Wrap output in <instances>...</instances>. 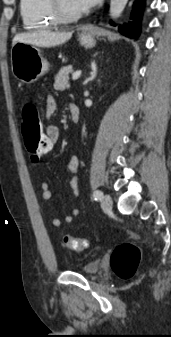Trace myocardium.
I'll use <instances>...</instances> for the list:
<instances>
[{
	"instance_id": "f54148a6",
	"label": "myocardium",
	"mask_w": 171,
	"mask_h": 337,
	"mask_svg": "<svg viewBox=\"0 0 171 337\" xmlns=\"http://www.w3.org/2000/svg\"><path fill=\"white\" fill-rule=\"evenodd\" d=\"M52 13L60 23H70L79 20L84 12L71 13L65 9L62 0H49Z\"/></svg>"
}]
</instances>
